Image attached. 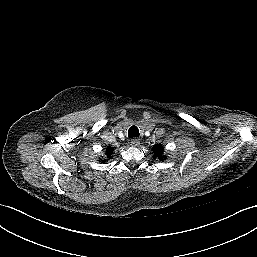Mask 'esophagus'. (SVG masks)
Returning a JSON list of instances; mask_svg holds the SVG:
<instances>
[{"instance_id":"34e87169","label":"esophagus","mask_w":257,"mask_h":257,"mask_svg":"<svg viewBox=\"0 0 257 257\" xmlns=\"http://www.w3.org/2000/svg\"><path fill=\"white\" fill-rule=\"evenodd\" d=\"M140 144V140L138 138H134L131 140L130 145L136 147Z\"/></svg>"}]
</instances>
